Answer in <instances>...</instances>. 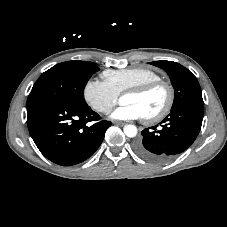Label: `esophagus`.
<instances>
[{
  "instance_id": "34e87169",
  "label": "esophagus",
  "mask_w": 227,
  "mask_h": 227,
  "mask_svg": "<svg viewBox=\"0 0 227 227\" xmlns=\"http://www.w3.org/2000/svg\"><path fill=\"white\" fill-rule=\"evenodd\" d=\"M114 124L118 125V126H124L125 125L124 122H119V121H115Z\"/></svg>"
}]
</instances>
